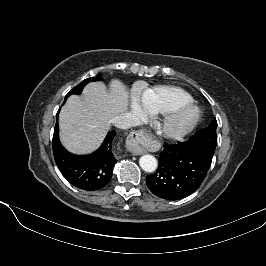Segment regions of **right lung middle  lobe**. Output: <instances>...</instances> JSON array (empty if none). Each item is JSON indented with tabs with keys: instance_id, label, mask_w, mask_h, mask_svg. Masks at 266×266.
<instances>
[{
	"instance_id": "dd1d6c3e",
	"label": "right lung middle lobe",
	"mask_w": 266,
	"mask_h": 266,
	"mask_svg": "<svg viewBox=\"0 0 266 266\" xmlns=\"http://www.w3.org/2000/svg\"><path fill=\"white\" fill-rule=\"evenodd\" d=\"M89 80H90V78L85 79V80H83L80 84H78L77 86H75V87H74V88H73V89H72V90L66 95L65 99H66L69 95H71V94H80V93L82 92L84 86L89 82ZM97 80H99V78H98V77H95V78H92L91 81H97Z\"/></svg>"
}]
</instances>
